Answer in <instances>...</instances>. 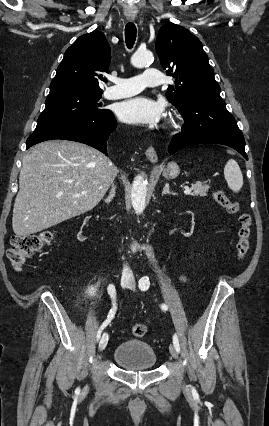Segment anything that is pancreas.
<instances>
[{
  "mask_svg": "<svg viewBox=\"0 0 269 426\" xmlns=\"http://www.w3.org/2000/svg\"><path fill=\"white\" fill-rule=\"evenodd\" d=\"M192 193L190 195L192 196H207V192L209 189V186L202 183H194L191 185Z\"/></svg>",
  "mask_w": 269,
  "mask_h": 426,
  "instance_id": "obj_1",
  "label": "pancreas"
}]
</instances>
